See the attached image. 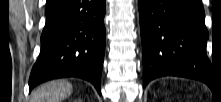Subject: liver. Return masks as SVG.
I'll return each mask as SVG.
<instances>
[{
  "label": "liver",
  "instance_id": "1",
  "mask_svg": "<svg viewBox=\"0 0 221 102\" xmlns=\"http://www.w3.org/2000/svg\"><path fill=\"white\" fill-rule=\"evenodd\" d=\"M72 85L65 80L45 83L31 94V102H61L72 93Z\"/></svg>",
  "mask_w": 221,
  "mask_h": 102
}]
</instances>
